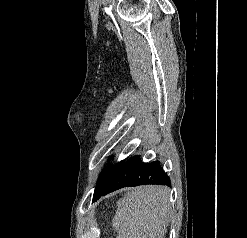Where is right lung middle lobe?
<instances>
[{
	"mask_svg": "<svg viewBox=\"0 0 247 238\" xmlns=\"http://www.w3.org/2000/svg\"><path fill=\"white\" fill-rule=\"evenodd\" d=\"M119 164L120 163H117L112 167L106 168L102 172V174L99 178V181L97 183V186L95 188V193H94L93 199L95 197H97L106 188L107 184L110 182V180H111V178H112V176H113V174H114V172H115V170Z\"/></svg>",
	"mask_w": 247,
	"mask_h": 238,
	"instance_id": "dd1d6c3e",
	"label": "right lung middle lobe"
}]
</instances>
